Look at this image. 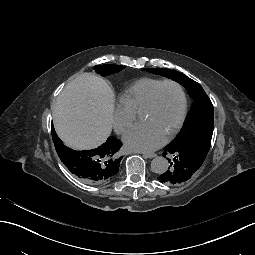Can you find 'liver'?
Wrapping results in <instances>:
<instances>
[{
	"label": "liver",
	"instance_id": "1",
	"mask_svg": "<svg viewBox=\"0 0 255 255\" xmlns=\"http://www.w3.org/2000/svg\"><path fill=\"white\" fill-rule=\"evenodd\" d=\"M115 95L108 83L93 73L70 81L52 107L56 133L74 150L99 147L110 136Z\"/></svg>",
	"mask_w": 255,
	"mask_h": 255
}]
</instances>
